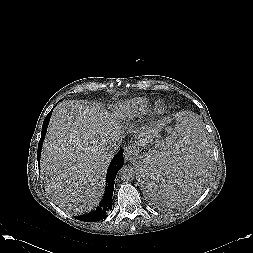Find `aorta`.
Returning a JSON list of instances; mask_svg holds the SVG:
<instances>
[{
    "mask_svg": "<svg viewBox=\"0 0 253 253\" xmlns=\"http://www.w3.org/2000/svg\"><path fill=\"white\" fill-rule=\"evenodd\" d=\"M119 177L123 181H131L135 176V171L131 166H123L119 172Z\"/></svg>",
    "mask_w": 253,
    "mask_h": 253,
    "instance_id": "aorta-1",
    "label": "aorta"
}]
</instances>
